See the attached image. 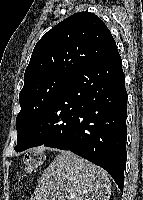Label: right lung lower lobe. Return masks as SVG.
Wrapping results in <instances>:
<instances>
[{
  "instance_id": "right-lung-lower-lobe-1",
  "label": "right lung lower lobe",
  "mask_w": 143,
  "mask_h": 200,
  "mask_svg": "<svg viewBox=\"0 0 143 200\" xmlns=\"http://www.w3.org/2000/svg\"><path fill=\"white\" fill-rule=\"evenodd\" d=\"M127 97L116 49L70 77L34 124L21 151L40 145L70 150L104 168L123 191Z\"/></svg>"
}]
</instances>
